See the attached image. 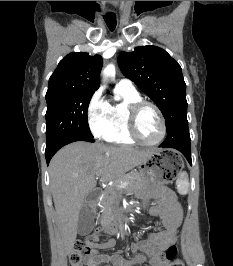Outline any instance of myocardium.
<instances>
[{"instance_id": "f54148a6", "label": "myocardium", "mask_w": 233, "mask_h": 266, "mask_svg": "<svg viewBox=\"0 0 233 266\" xmlns=\"http://www.w3.org/2000/svg\"><path fill=\"white\" fill-rule=\"evenodd\" d=\"M147 106L152 107L155 110L161 123V134L159 138L153 142H148L142 139L137 129V120H138L139 113L144 107H147ZM126 114H127L128 132H129L130 137L135 142L145 145V146H157L163 142L166 136V132H167L166 121H165L162 111L155 103L148 101V100H144V99L134 101L127 106Z\"/></svg>"}]
</instances>
